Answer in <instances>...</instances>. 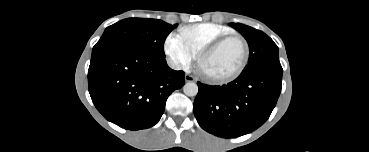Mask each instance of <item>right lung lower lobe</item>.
<instances>
[{
    "instance_id": "98d812e1",
    "label": "right lung lower lobe",
    "mask_w": 369,
    "mask_h": 152,
    "mask_svg": "<svg viewBox=\"0 0 369 152\" xmlns=\"http://www.w3.org/2000/svg\"><path fill=\"white\" fill-rule=\"evenodd\" d=\"M185 73L147 52L113 48L91 58L88 87L98 111L114 124L139 130L154 126L168 96L185 83Z\"/></svg>"
}]
</instances>
